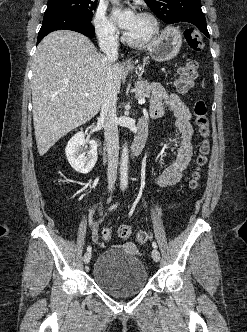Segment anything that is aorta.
<instances>
[{
    "mask_svg": "<svg viewBox=\"0 0 247 332\" xmlns=\"http://www.w3.org/2000/svg\"><path fill=\"white\" fill-rule=\"evenodd\" d=\"M114 3H118V0H111ZM128 147L124 144L120 162V186L122 189L127 187L128 184Z\"/></svg>",
    "mask_w": 247,
    "mask_h": 332,
    "instance_id": "aorta-1",
    "label": "aorta"
}]
</instances>
